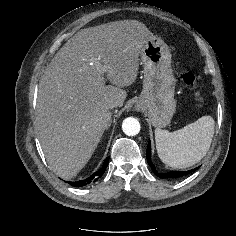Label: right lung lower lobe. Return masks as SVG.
Returning a JSON list of instances; mask_svg holds the SVG:
<instances>
[{"instance_id": "1", "label": "right lung lower lobe", "mask_w": 236, "mask_h": 236, "mask_svg": "<svg viewBox=\"0 0 236 236\" xmlns=\"http://www.w3.org/2000/svg\"><path fill=\"white\" fill-rule=\"evenodd\" d=\"M107 165H108V158L105 160L104 164L97 172L93 173L91 176H89L88 178L84 180H80L76 182H69V184L75 187H83L88 184H91L97 181L104 174Z\"/></svg>"}]
</instances>
